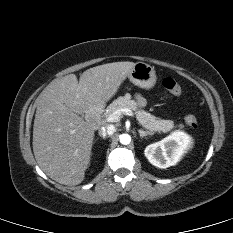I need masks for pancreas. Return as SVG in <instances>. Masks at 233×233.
<instances>
[{
    "label": "pancreas",
    "instance_id": "pancreas-1",
    "mask_svg": "<svg viewBox=\"0 0 233 233\" xmlns=\"http://www.w3.org/2000/svg\"><path fill=\"white\" fill-rule=\"evenodd\" d=\"M121 108H127L133 110L135 112L136 118L139 121V124L147 129L150 133L154 134L158 133H167L176 128L175 123L172 120H164L149 112L141 109L138 103L131 98L130 95L120 96L116 100H114L106 109L104 113L105 117H108L116 110Z\"/></svg>",
    "mask_w": 233,
    "mask_h": 233
}]
</instances>
